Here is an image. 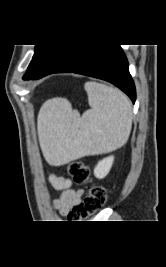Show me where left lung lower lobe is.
Instances as JSON below:
<instances>
[{"instance_id": "left-lung-lower-lobe-1", "label": "left lung lower lobe", "mask_w": 166, "mask_h": 267, "mask_svg": "<svg viewBox=\"0 0 166 267\" xmlns=\"http://www.w3.org/2000/svg\"><path fill=\"white\" fill-rule=\"evenodd\" d=\"M71 72L106 80L135 102V85L120 45H57L44 59L32 80L53 73Z\"/></svg>"}]
</instances>
